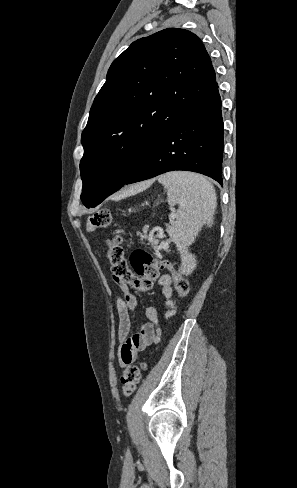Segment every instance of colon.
<instances>
[{
  "label": "colon",
  "mask_w": 297,
  "mask_h": 488,
  "mask_svg": "<svg viewBox=\"0 0 297 488\" xmlns=\"http://www.w3.org/2000/svg\"><path fill=\"white\" fill-rule=\"evenodd\" d=\"M113 224L112 213L109 209H101L88 219L91 230L107 228ZM111 264L112 277L142 290H149L163 270H168L174 279V286L179 298L185 297L189 292V282L182 275L178 264L168 259L157 258L142 249L135 250L128 259L121 246V238L116 236L112 240L111 248L107 253ZM146 364L139 361L128 365L122 372L120 381L122 393L132 395L141 379Z\"/></svg>",
  "instance_id": "1"
}]
</instances>
